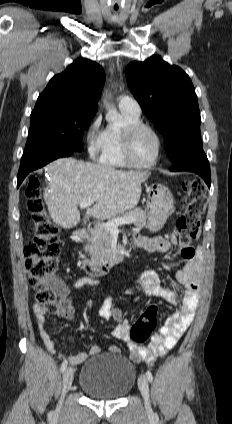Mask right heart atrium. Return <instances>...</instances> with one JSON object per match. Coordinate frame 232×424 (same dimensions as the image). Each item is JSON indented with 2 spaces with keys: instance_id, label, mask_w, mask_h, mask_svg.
<instances>
[{
  "instance_id": "right-heart-atrium-1",
  "label": "right heart atrium",
  "mask_w": 232,
  "mask_h": 424,
  "mask_svg": "<svg viewBox=\"0 0 232 424\" xmlns=\"http://www.w3.org/2000/svg\"><path fill=\"white\" fill-rule=\"evenodd\" d=\"M101 117L95 116L85 129V143L89 156L95 158L102 150V132L100 131Z\"/></svg>"
}]
</instances>
